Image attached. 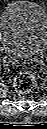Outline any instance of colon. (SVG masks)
<instances>
[{
	"label": "colon",
	"instance_id": "5ec220e1",
	"mask_svg": "<svg viewBox=\"0 0 47 129\" xmlns=\"http://www.w3.org/2000/svg\"><path fill=\"white\" fill-rule=\"evenodd\" d=\"M34 79L29 72H21L13 80L14 89L21 94L29 92L33 88Z\"/></svg>",
	"mask_w": 47,
	"mask_h": 129
}]
</instances>
